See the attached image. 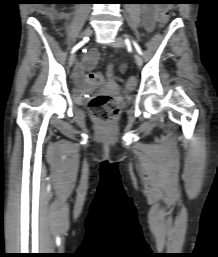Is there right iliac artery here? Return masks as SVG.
Segmentation results:
<instances>
[{
	"label": "right iliac artery",
	"instance_id": "obj_1",
	"mask_svg": "<svg viewBox=\"0 0 218 257\" xmlns=\"http://www.w3.org/2000/svg\"><path fill=\"white\" fill-rule=\"evenodd\" d=\"M88 40L87 37L84 38L83 41L79 42L77 45H75L71 51V53H74L76 50H78L81 46L84 45V43Z\"/></svg>",
	"mask_w": 218,
	"mask_h": 257
}]
</instances>
